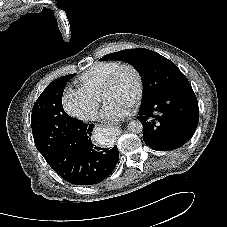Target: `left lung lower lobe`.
Here are the masks:
<instances>
[{"label": "left lung lower lobe", "mask_w": 227, "mask_h": 227, "mask_svg": "<svg viewBox=\"0 0 227 227\" xmlns=\"http://www.w3.org/2000/svg\"><path fill=\"white\" fill-rule=\"evenodd\" d=\"M138 115L144 142L156 150H173L193 136L198 124V103L190 88L141 104Z\"/></svg>", "instance_id": "0a47b994"}]
</instances>
